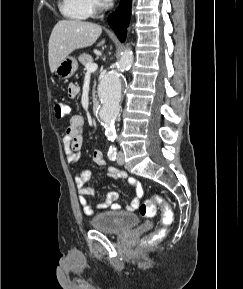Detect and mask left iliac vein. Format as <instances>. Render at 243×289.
I'll use <instances>...</instances> for the list:
<instances>
[{"label":"left iliac vein","mask_w":243,"mask_h":289,"mask_svg":"<svg viewBox=\"0 0 243 289\" xmlns=\"http://www.w3.org/2000/svg\"><path fill=\"white\" fill-rule=\"evenodd\" d=\"M117 162H118L119 165H123L124 164V153L123 152H119L118 153Z\"/></svg>","instance_id":"obj_1"}]
</instances>
